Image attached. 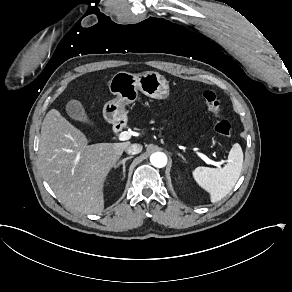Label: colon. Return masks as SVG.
Here are the masks:
<instances>
[{
  "label": "colon",
  "instance_id": "5ec220e1",
  "mask_svg": "<svg viewBox=\"0 0 292 292\" xmlns=\"http://www.w3.org/2000/svg\"><path fill=\"white\" fill-rule=\"evenodd\" d=\"M203 101L207 109L212 113L215 118V130L216 132L223 136L228 137L231 134V124L228 120L223 118L224 109L221 105L218 95L211 90L203 92ZM89 137L92 135L89 134Z\"/></svg>",
  "mask_w": 292,
  "mask_h": 292
}]
</instances>
